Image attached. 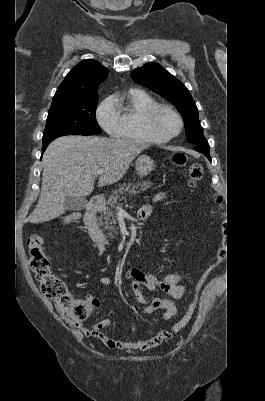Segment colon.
Returning <instances> with one entry per match:
<instances>
[{"mask_svg": "<svg viewBox=\"0 0 265 401\" xmlns=\"http://www.w3.org/2000/svg\"><path fill=\"white\" fill-rule=\"evenodd\" d=\"M173 162L178 166H184L187 163V157L185 154L176 153L173 156ZM203 176V167L199 163H193L189 166L187 183L190 187L196 186L199 180ZM215 203L218 206L223 205V199L221 196L216 195L214 197ZM78 218L77 213H72L64 218L66 222L74 221ZM43 237L37 233L30 237L28 245L30 249V264L36 279L40 283L42 293L50 300H53L58 310L61 312L63 318L74 325H79L84 322L91 314L94 306L97 305V301L88 299H77L69 292L66 282L54 275L51 270V262L45 254L43 247ZM226 257V249L221 247L216 256V262L210 268H208L197 281L195 291L198 292L201 286L209 277L210 273L224 261ZM195 301H192L188 307L183 318L172 327L171 331H166L165 335L169 339L173 332H178L184 328L194 312Z\"/></svg>", "mask_w": 265, "mask_h": 401, "instance_id": "1", "label": "colon"}]
</instances>
